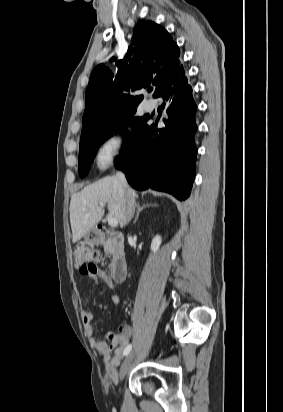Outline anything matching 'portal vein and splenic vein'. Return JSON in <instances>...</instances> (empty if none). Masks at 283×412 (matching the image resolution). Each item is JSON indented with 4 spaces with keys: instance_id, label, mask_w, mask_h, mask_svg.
Segmentation results:
<instances>
[{
    "instance_id": "obj_1",
    "label": "portal vein and splenic vein",
    "mask_w": 283,
    "mask_h": 412,
    "mask_svg": "<svg viewBox=\"0 0 283 412\" xmlns=\"http://www.w3.org/2000/svg\"><path fill=\"white\" fill-rule=\"evenodd\" d=\"M84 210L86 211V209H84ZM108 224L111 227H117L118 226V221H117V219L111 217V218L108 219Z\"/></svg>"
}]
</instances>
